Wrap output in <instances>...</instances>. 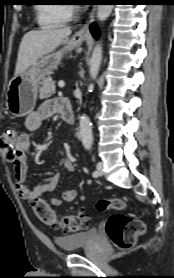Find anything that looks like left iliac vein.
<instances>
[{"mask_svg":"<svg viewBox=\"0 0 174 278\" xmlns=\"http://www.w3.org/2000/svg\"><path fill=\"white\" fill-rule=\"evenodd\" d=\"M97 172H98L99 176H101L103 174V163L102 162L97 163Z\"/></svg>","mask_w":174,"mask_h":278,"instance_id":"4c4485c4","label":"left iliac vein"}]
</instances>
